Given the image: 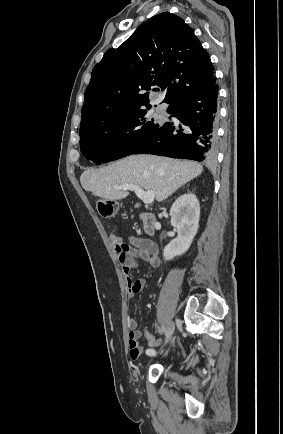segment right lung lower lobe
Wrapping results in <instances>:
<instances>
[{
  "label": "right lung lower lobe",
  "mask_w": 283,
  "mask_h": 434,
  "mask_svg": "<svg viewBox=\"0 0 283 434\" xmlns=\"http://www.w3.org/2000/svg\"><path fill=\"white\" fill-rule=\"evenodd\" d=\"M218 87H210L171 104L167 112L180 122H167L133 154H154L211 162L215 158Z\"/></svg>",
  "instance_id": "right-lung-lower-lobe-1"
}]
</instances>
